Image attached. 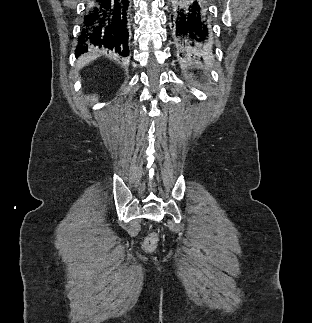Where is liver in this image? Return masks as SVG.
I'll use <instances>...</instances> for the list:
<instances>
[{"instance_id":"liver-1","label":"liver","mask_w":312,"mask_h":323,"mask_svg":"<svg viewBox=\"0 0 312 323\" xmlns=\"http://www.w3.org/2000/svg\"><path fill=\"white\" fill-rule=\"evenodd\" d=\"M96 58H99V54H96L95 50H88L86 54H81L78 60H76L77 70H82V68H84L86 64H89V62H93V60H96Z\"/></svg>"}]
</instances>
